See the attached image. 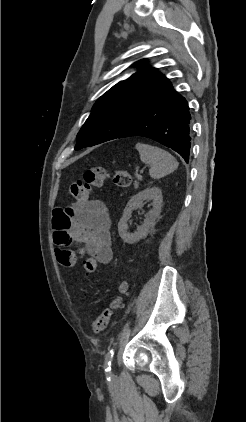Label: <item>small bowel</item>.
Listing matches in <instances>:
<instances>
[{"instance_id": "1", "label": "small bowel", "mask_w": 246, "mask_h": 422, "mask_svg": "<svg viewBox=\"0 0 246 422\" xmlns=\"http://www.w3.org/2000/svg\"><path fill=\"white\" fill-rule=\"evenodd\" d=\"M53 239L61 249L75 244L76 254L108 264L113 258L111 221L105 203L101 200L79 201L53 213ZM71 250V249H69Z\"/></svg>"}]
</instances>
